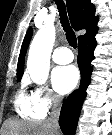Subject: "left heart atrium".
<instances>
[{
  "label": "left heart atrium",
  "mask_w": 112,
  "mask_h": 135,
  "mask_svg": "<svg viewBox=\"0 0 112 135\" xmlns=\"http://www.w3.org/2000/svg\"><path fill=\"white\" fill-rule=\"evenodd\" d=\"M79 80L78 70L73 65L57 66L51 73V82L59 95L69 93Z\"/></svg>",
  "instance_id": "obj_1"
}]
</instances>
